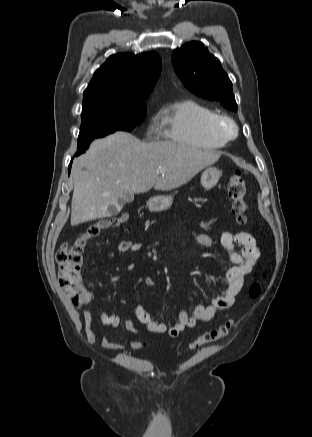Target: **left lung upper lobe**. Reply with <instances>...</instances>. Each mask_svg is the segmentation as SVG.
Listing matches in <instances>:
<instances>
[{"label":"left lung upper lobe","instance_id":"5c2ea615","mask_svg":"<svg viewBox=\"0 0 312 437\" xmlns=\"http://www.w3.org/2000/svg\"><path fill=\"white\" fill-rule=\"evenodd\" d=\"M172 62L177 75L191 92L237 111L232 82L220 61L208 52L203 43L192 41L177 48L172 53Z\"/></svg>","mask_w":312,"mask_h":437}]
</instances>
